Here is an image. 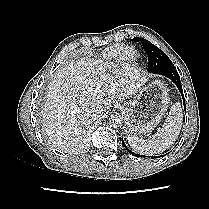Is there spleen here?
<instances>
[{
    "label": "spleen",
    "mask_w": 209,
    "mask_h": 209,
    "mask_svg": "<svg viewBox=\"0 0 209 209\" xmlns=\"http://www.w3.org/2000/svg\"><path fill=\"white\" fill-rule=\"evenodd\" d=\"M182 120V107L180 103H175L171 107L163 127L158 130L151 140H143L129 135L127 137L128 144L134 151L142 155L162 153L177 139L182 127Z\"/></svg>",
    "instance_id": "spleen-1"
}]
</instances>
